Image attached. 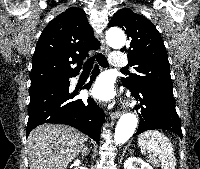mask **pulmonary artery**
<instances>
[{"label":"pulmonary artery","mask_w":200,"mask_h":169,"mask_svg":"<svg viewBox=\"0 0 200 169\" xmlns=\"http://www.w3.org/2000/svg\"><path fill=\"white\" fill-rule=\"evenodd\" d=\"M111 65L122 67L127 65L128 58L123 51H115L110 58Z\"/></svg>","instance_id":"1"}]
</instances>
